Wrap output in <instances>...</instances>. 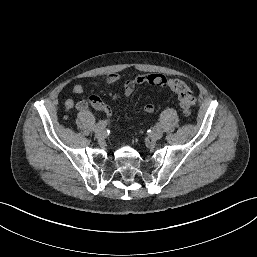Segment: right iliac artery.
<instances>
[{"instance_id": "82829eb1", "label": "right iliac artery", "mask_w": 257, "mask_h": 257, "mask_svg": "<svg viewBox=\"0 0 257 257\" xmlns=\"http://www.w3.org/2000/svg\"><path fill=\"white\" fill-rule=\"evenodd\" d=\"M108 124V121H99L97 124L94 125L93 131L97 132L100 129H104Z\"/></svg>"}]
</instances>
